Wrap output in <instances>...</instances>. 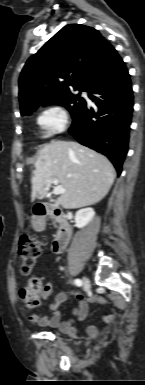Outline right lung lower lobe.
I'll use <instances>...</instances> for the list:
<instances>
[{
	"label": "right lung lower lobe",
	"instance_id": "right-lung-lower-lobe-1",
	"mask_svg": "<svg viewBox=\"0 0 145 385\" xmlns=\"http://www.w3.org/2000/svg\"><path fill=\"white\" fill-rule=\"evenodd\" d=\"M88 92L98 111L85 103L73 117L69 132L82 145L107 156L120 174L128 151L133 112V91L127 68Z\"/></svg>",
	"mask_w": 145,
	"mask_h": 385
}]
</instances>
